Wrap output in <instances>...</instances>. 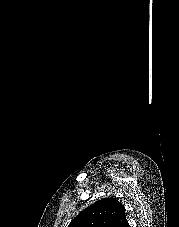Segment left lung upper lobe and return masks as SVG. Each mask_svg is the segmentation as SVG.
<instances>
[{
    "label": "left lung upper lobe",
    "instance_id": "obj_1",
    "mask_svg": "<svg viewBox=\"0 0 179 227\" xmlns=\"http://www.w3.org/2000/svg\"><path fill=\"white\" fill-rule=\"evenodd\" d=\"M68 227H129V224L122 203L111 197L82 210Z\"/></svg>",
    "mask_w": 179,
    "mask_h": 227
}]
</instances>
